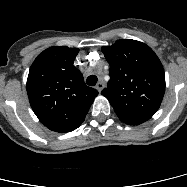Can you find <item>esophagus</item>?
<instances>
[{"mask_svg":"<svg viewBox=\"0 0 187 187\" xmlns=\"http://www.w3.org/2000/svg\"><path fill=\"white\" fill-rule=\"evenodd\" d=\"M104 87H105V84H104L103 81H99V82L97 83V85H96V89H97L99 92H101V91L104 89Z\"/></svg>","mask_w":187,"mask_h":187,"instance_id":"34e87169","label":"esophagus"}]
</instances>
